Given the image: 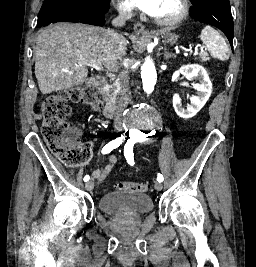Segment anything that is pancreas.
<instances>
[{
  "instance_id": "cf45deb5",
  "label": "pancreas",
  "mask_w": 256,
  "mask_h": 267,
  "mask_svg": "<svg viewBox=\"0 0 256 267\" xmlns=\"http://www.w3.org/2000/svg\"><path fill=\"white\" fill-rule=\"evenodd\" d=\"M207 60H210V58H207V54H200V62H207ZM112 90H118L117 82H114ZM116 96L117 94H114V98H116Z\"/></svg>"
}]
</instances>
